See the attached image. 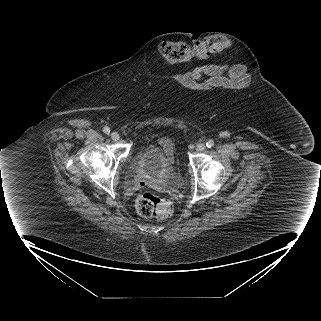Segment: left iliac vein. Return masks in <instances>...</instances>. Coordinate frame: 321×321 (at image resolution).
Listing matches in <instances>:
<instances>
[{"instance_id":"4c4485c4","label":"left iliac vein","mask_w":321,"mask_h":321,"mask_svg":"<svg viewBox=\"0 0 321 321\" xmlns=\"http://www.w3.org/2000/svg\"><path fill=\"white\" fill-rule=\"evenodd\" d=\"M205 144L204 143H198L196 146V151L197 152H202L205 149Z\"/></svg>"}]
</instances>
